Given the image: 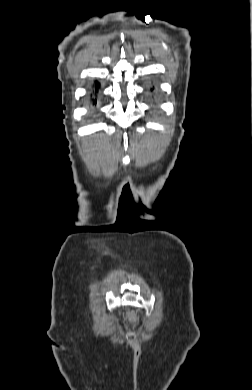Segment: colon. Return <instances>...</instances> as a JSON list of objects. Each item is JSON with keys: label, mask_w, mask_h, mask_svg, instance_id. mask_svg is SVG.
Segmentation results:
<instances>
[{"label": "colon", "mask_w": 252, "mask_h": 390, "mask_svg": "<svg viewBox=\"0 0 252 390\" xmlns=\"http://www.w3.org/2000/svg\"><path fill=\"white\" fill-rule=\"evenodd\" d=\"M128 316H129V318H130L132 321H135V320H136V316H135V314H134L132 311H129V312H128Z\"/></svg>", "instance_id": "obj_1"}]
</instances>
